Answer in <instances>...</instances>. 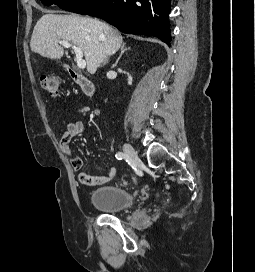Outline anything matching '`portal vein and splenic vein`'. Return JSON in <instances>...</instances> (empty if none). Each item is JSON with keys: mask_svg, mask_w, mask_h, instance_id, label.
<instances>
[{"mask_svg": "<svg viewBox=\"0 0 255 272\" xmlns=\"http://www.w3.org/2000/svg\"><path fill=\"white\" fill-rule=\"evenodd\" d=\"M59 43L66 48L72 47L76 55L75 60L77 62V66L81 69H84L86 67V61L83 59V51L81 48L75 45H72L68 41H65V40H60Z\"/></svg>", "mask_w": 255, "mask_h": 272, "instance_id": "18ae733b", "label": "portal vein and splenic vein"}]
</instances>
